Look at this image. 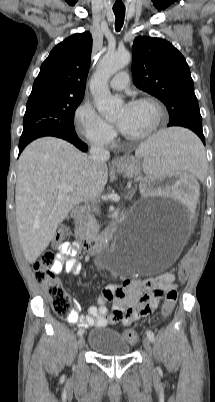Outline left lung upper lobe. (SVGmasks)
<instances>
[{
  "mask_svg": "<svg viewBox=\"0 0 215 402\" xmlns=\"http://www.w3.org/2000/svg\"><path fill=\"white\" fill-rule=\"evenodd\" d=\"M132 49L134 84L165 104L170 116L168 126L203 133L193 80L183 55L160 38L137 37Z\"/></svg>",
  "mask_w": 215,
  "mask_h": 402,
  "instance_id": "obj_1",
  "label": "left lung upper lobe"
}]
</instances>
